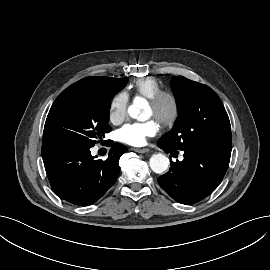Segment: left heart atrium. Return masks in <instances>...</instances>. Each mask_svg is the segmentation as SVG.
Instances as JSON below:
<instances>
[{
	"mask_svg": "<svg viewBox=\"0 0 270 270\" xmlns=\"http://www.w3.org/2000/svg\"><path fill=\"white\" fill-rule=\"evenodd\" d=\"M159 130V125L154 119L146 122H134L124 125L118 132L119 139L133 146H141L147 137L154 136Z\"/></svg>",
	"mask_w": 270,
	"mask_h": 270,
	"instance_id": "left-heart-atrium-1",
	"label": "left heart atrium"
}]
</instances>
